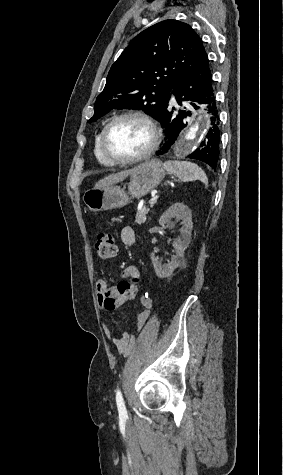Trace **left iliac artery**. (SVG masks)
I'll return each mask as SVG.
<instances>
[{"mask_svg":"<svg viewBox=\"0 0 283 475\" xmlns=\"http://www.w3.org/2000/svg\"><path fill=\"white\" fill-rule=\"evenodd\" d=\"M116 403H117L119 415L127 416V411H126V407H125L124 400L122 397V393L119 390L117 391V394H116Z\"/></svg>","mask_w":283,"mask_h":475,"instance_id":"44dca946","label":"left iliac artery"}]
</instances>
